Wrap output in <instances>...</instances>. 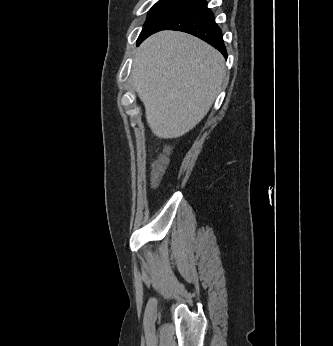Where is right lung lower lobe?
I'll return each mask as SVG.
<instances>
[{
    "instance_id": "right-lung-lower-lobe-1",
    "label": "right lung lower lobe",
    "mask_w": 333,
    "mask_h": 346,
    "mask_svg": "<svg viewBox=\"0 0 333 346\" xmlns=\"http://www.w3.org/2000/svg\"><path fill=\"white\" fill-rule=\"evenodd\" d=\"M161 30H177L192 34L211 44L227 58L222 31L215 22L213 12L207 7L205 0H188ZM144 39L139 40L137 44L139 45Z\"/></svg>"
}]
</instances>
